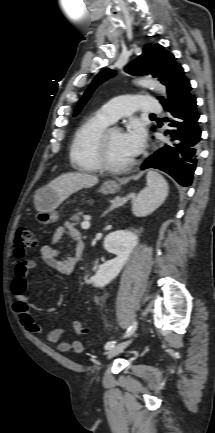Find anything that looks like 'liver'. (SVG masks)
Wrapping results in <instances>:
<instances>
[{
    "instance_id": "6515ba94",
    "label": "liver",
    "mask_w": 215,
    "mask_h": 433,
    "mask_svg": "<svg viewBox=\"0 0 215 433\" xmlns=\"http://www.w3.org/2000/svg\"><path fill=\"white\" fill-rule=\"evenodd\" d=\"M98 183V178L93 175H88L78 172L65 173L48 185L57 195L59 202H63L71 194L83 188H90Z\"/></svg>"
}]
</instances>
